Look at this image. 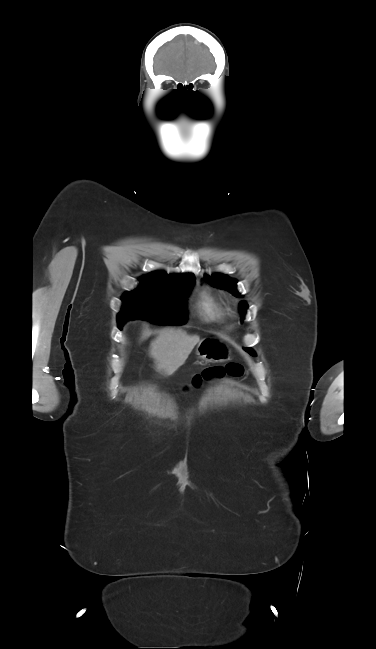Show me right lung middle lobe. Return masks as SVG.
Segmentation results:
<instances>
[{"mask_svg":"<svg viewBox=\"0 0 376 649\" xmlns=\"http://www.w3.org/2000/svg\"><path fill=\"white\" fill-rule=\"evenodd\" d=\"M195 277L192 274L169 277H141L140 287L125 293L118 325L132 319L156 324L182 325L187 321L186 297Z\"/></svg>","mask_w":376,"mask_h":649,"instance_id":"dd1d6c3e","label":"right lung middle lobe"}]
</instances>
